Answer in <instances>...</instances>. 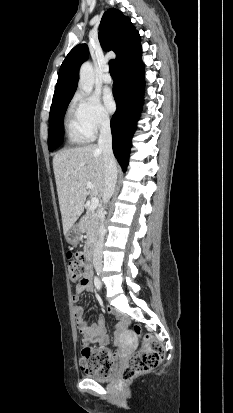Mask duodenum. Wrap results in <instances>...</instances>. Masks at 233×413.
Segmentation results:
<instances>
[{"label":"duodenum","mask_w":233,"mask_h":413,"mask_svg":"<svg viewBox=\"0 0 233 413\" xmlns=\"http://www.w3.org/2000/svg\"><path fill=\"white\" fill-rule=\"evenodd\" d=\"M93 251V244L92 242H89L84 250V257L86 258V260H90L91 254Z\"/></svg>","instance_id":"410a0bca"}]
</instances>
